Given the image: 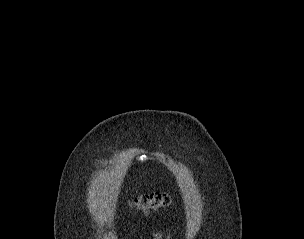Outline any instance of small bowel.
<instances>
[{
	"label": "small bowel",
	"mask_w": 304,
	"mask_h": 239,
	"mask_svg": "<svg viewBox=\"0 0 304 239\" xmlns=\"http://www.w3.org/2000/svg\"><path fill=\"white\" fill-rule=\"evenodd\" d=\"M153 237L154 239H171V236L165 232H156Z\"/></svg>",
	"instance_id": "1"
}]
</instances>
